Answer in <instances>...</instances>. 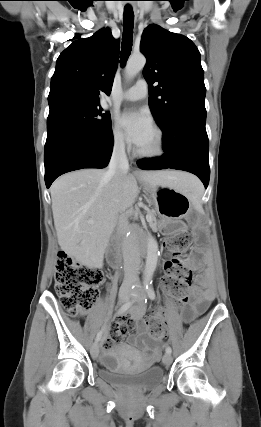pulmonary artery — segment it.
Returning a JSON list of instances; mask_svg holds the SVG:
<instances>
[{
	"label": "pulmonary artery",
	"instance_id": "e3ab8cb5",
	"mask_svg": "<svg viewBox=\"0 0 261 427\" xmlns=\"http://www.w3.org/2000/svg\"><path fill=\"white\" fill-rule=\"evenodd\" d=\"M147 83L145 80H139L134 86L126 90L119 98L126 101H137L147 95Z\"/></svg>",
	"mask_w": 261,
	"mask_h": 427
}]
</instances>
